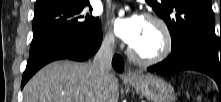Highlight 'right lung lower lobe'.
Instances as JSON below:
<instances>
[{"label":"right lung lower lobe","mask_w":221,"mask_h":102,"mask_svg":"<svg viewBox=\"0 0 221 102\" xmlns=\"http://www.w3.org/2000/svg\"><path fill=\"white\" fill-rule=\"evenodd\" d=\"M102 41L101 26L91 35H64L57 37L30 54L25 72L23 74L21 88L44 65L59 59L85 61L96 53ZM113 67L122 72L123 59L119 55L113 57Z\"/></svg>","instance_id":"obj_1"}]
</instances>
